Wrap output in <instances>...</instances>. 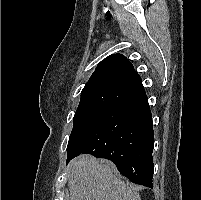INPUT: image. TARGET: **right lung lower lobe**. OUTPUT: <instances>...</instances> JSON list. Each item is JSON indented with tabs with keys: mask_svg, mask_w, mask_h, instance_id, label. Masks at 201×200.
Returning a JSON list of instances; mask_svg holds the SVG:
<instances>
[{
	"mask_svg": "<svg viewBox=\"0 0 201 200\" xmlns=\"http://www.w3.org/2000/svg\"><path fill=\"white\" fill-rule=\"evenodd\" d=\"M154 131L146 94L80 132L67 147V163L80 154L111 160L131 182L153 187Z\"/></svg>",
	"mask_w": 201,
	"mask_h": 200,
	"instance_id": "obj_1",
	"label": "right lung lower lobe"
}]
</instances>
